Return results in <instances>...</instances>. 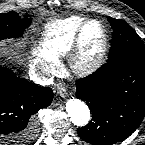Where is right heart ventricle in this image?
<instances>
[{"instance_id": "right-heart-ventricle-1", "label": "right heart ventricle", "mask_w": 145, "mask_h": 145, "mask_svg": "<svg viewBox=\"0 0 145 145\" xmlns=\"http://www.w3.org/2000/svg\"><path fill=\"white\" fill-rule=\"evenodd\" d=\"M86 20L85 17L74 15L51 21L45 27L38 49L39 54L58 62L67 57L79 26Z\"/></svg>"}]
</instances>
